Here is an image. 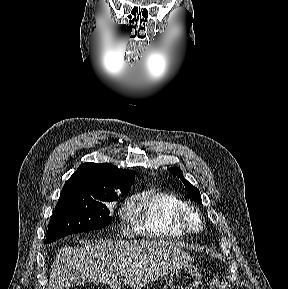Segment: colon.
<instances>
[{
  "label": "colon",
  "mask_w": 288,
  "mask_h": 289,
  "mask_svg": "<svg viewBox=\"0 0 288 289\" xmlns=\"http://www.w3.org/2000/svg\"><path fill=\"white\" fill-rule=\"evenodd\" d=\"M207 289H230V286L225 280L214 276L208 279Z\"/></svg>",
  "instance_id": "colon-1"
}]
</instances>
